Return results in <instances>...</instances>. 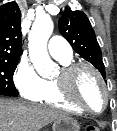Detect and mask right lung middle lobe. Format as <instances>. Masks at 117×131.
<instances>
[{
	"instance_id": "1",
	"label": "right lung middle lobe",
	"mask_w": 117,
	"mask_h": 131,
	"mask_svg": "<svg viewBox=\"0 0 117 131\" xmlns=\"http://www.w3.org/2000/svg\"><path fill=\"white\" fill-rule=\"evenodd\" d=\"M19 59H0V95L17 96L13 74Z\"/></svg>"
}]
</instances>
